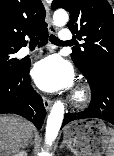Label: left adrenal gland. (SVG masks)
Listing matches in <instances>:
<instances>
[{"label":"left adrenal gland","mask_w":114,"mask_h":156,"mask_svg":"<svg viewBox=\"0 0 114 156\" xmlns=\"http://www.w3.org/2000/svg\"><path fill=\"white\" fill-rule=\"evenodd\" d=\"M65 147V142L63 141L62 143H61V145H60V148L62 149V148H64Z\"/></svg>","instance_id":"1"}]
</instances>
